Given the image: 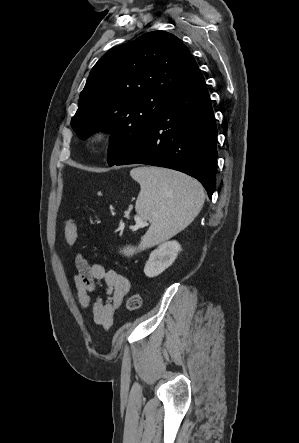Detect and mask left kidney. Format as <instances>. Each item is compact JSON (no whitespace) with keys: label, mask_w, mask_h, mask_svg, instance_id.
<instances>
[{"label":"left kidney","mask_w":299,"mask_h":443,"mask_svg":"<svg viewBox=\"0 0 299 443\" xmlns=\"http://www.w3.org/2000/svg\"><path fill=\"white\" fill-rule=\"evenodd\" d=\"M181 246L177 241H168L150 253L147 260L144 273L148 277H155L161 274L165 269L172 265L177 258Z\"/></svg>","instance_id":"5707ae66"}]
</instances>
